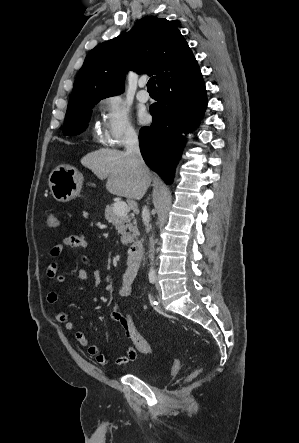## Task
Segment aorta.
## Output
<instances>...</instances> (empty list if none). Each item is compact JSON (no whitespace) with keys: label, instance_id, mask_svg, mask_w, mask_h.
I'll return each mask as SVG.
<instances>
[{"label":"aorta","instance_id":"762f6f07","mask_svg":"<svg viewBox=\"0 0 299 443\" xmlns=\"http://www.w3.org/2000/svg\"><path fill=\"white\" fill-rule=\"evenodd\" d=\"M150 251H149V258L151 260V268L150 271L153 272L154 271V267H153V248H154V240L153 238L150 239Z\"/></svg>","mask_w":299,"mask_h":443}]
</instances>
